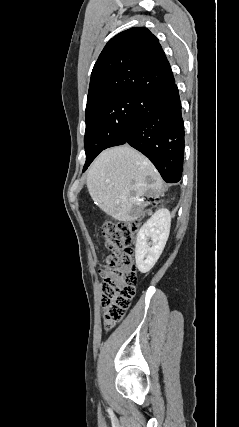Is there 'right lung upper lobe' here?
Segmentation results:
<instances>
[{
  "mask_svg": "<svg viewBox=\"0 0 239 427\" xmlns=\"http://www.w3.org/2000/svg\"><path fill=\"white\" fill-rule=\"evenodd\" d=\"M172 82V70L159 40L146 28H130L114 36L102 50L91 73L87 106L126 95L141 97Z\"/></svg>",
  "mask_w": 239,
  "mask_h": 427,
  "instance_id": "right-lung-upper-lobe-1",
  "label": "right lung upper lobe"
}]
</instances>
